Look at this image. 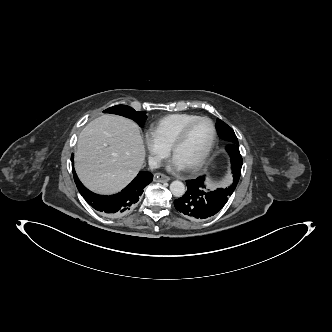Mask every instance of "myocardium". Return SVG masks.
Wrapping results in <instances>:
<instances>
[{
	"instance_id": "1",
	"label": "myocardium",
	"mask_w": 332,
	"mask_h": 332,
	"mask_svg": "<svg viewBox=\"0 0 332 332\" xmlns=\"http://www.w3.org/2000/svg\"><path fill=\"white\" fill-rule=\"evenodd\" d=\"M200 121H207L210 123V125L212 127V138H211L209 146L207 147L205 152L200 156V158L195 163H193L192 165H190L189 167L186 168V170L190 171V172H195V171H198L200 168H202V166L205 164V162L207 161V159L209 158V156L211 155V153L215 147V144L217 141V128H216L214 122L210 118L204 117V116H199V117L195 118L194 120L187 123L180 130V132L178 133V135L176 136V138L174 139V141L172 142V144L170 146V153L172 155H174L176 149L184 142L190 129L197 122H200Z\"/></svg>"
}]
</instances>
